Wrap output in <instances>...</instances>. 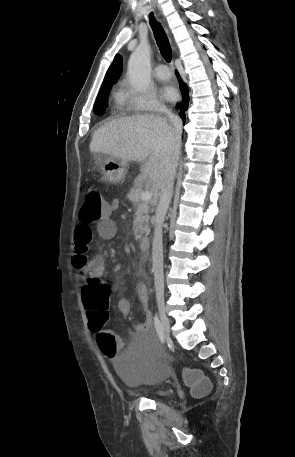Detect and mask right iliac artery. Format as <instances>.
Here are the masks:
<instances>
[{
	"label": "right iliac artery",
	"mask_w": 295,
	"mask_h": 457,
	"mask_svg": "<svg viewBox=\"0 0 295 457\" xmlns=\"http://www.w3.org/2000/svg\"><path fill=\"white\" fill-rule=\"evenodd\" d=\"M154 325L157 331V334L159 335V338L161 342H164V332H163V326L161 324V321L157 315L154 317Z\"/></svg>",
	"instance_id": "obj_1"
}]
</instances>
